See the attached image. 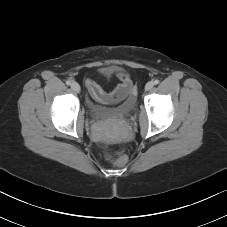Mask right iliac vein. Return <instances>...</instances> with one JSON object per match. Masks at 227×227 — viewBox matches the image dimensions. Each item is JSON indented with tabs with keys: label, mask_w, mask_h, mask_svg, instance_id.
Here are the masks:
<instances>
[{
	"label": "right iliac vein",
	"mask_w": 227,
	"mask_h": 227,
	"mask_svg": "<svg viewBox=\"0 0 227 227\" xmlns=\"http://www.w3.org/2000/svg\"><path fill=\"white\" fill-rule=\"evenodd\" d=\"M71 88H72L75 92H80V90H81L80 85H79L77 82H75V81H73V82L71 83Z\"/></svg>",
	"instance_id": "1"
}]
</instances>
